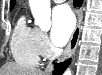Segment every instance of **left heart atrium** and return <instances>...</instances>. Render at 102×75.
I'll return each instance as SVG.
<instances>
[{"instance_id": "1", "label": "left heart atrium", "mask_w": 102, "mask_h": 75, "mask_svg": "<svg viewBox=\"0 0 102 75\" xmlns=\"http://www.w3.org/2000/svg\"><path fill=\"white\" fill-rule=\"evenodd\" d=\"M76 24L68 5H59L52 12L51 40L55 46H64L71 38Z\"/></svg>"}]
</instances>
